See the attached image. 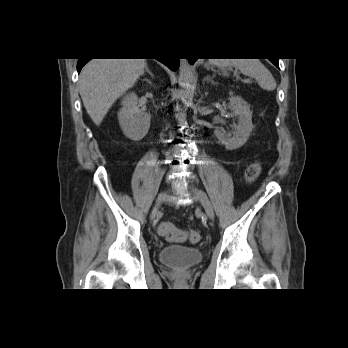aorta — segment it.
I'll list each match as a JSON object with an SVG mask.
<instances>
[{
	"instance_id": "obj_1",
	"label": "aorta",
	"mask_w": 348,
	"mask_h": 348,
	"mask_svg": "<svg viewBox=\"0 0 348 348\" xmlns=\"http://www.w3.org/2000/svg\"><path fill=\"white\" fill-rule=\"evenodd\" d=\"M179 70L177 96L182 105L176 107V119L179 126L183 127L186 122L187 107L191 104L194 96L195 76L187 59L180 60Z\"/></svg>"
}]
</instances>
